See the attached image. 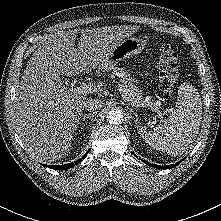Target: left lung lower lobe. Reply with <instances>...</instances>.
Returning a JSON list of instances; mask_svg holds the SVG:
<instances>
[{
  "label": "left lung lower lobe",
  "mask_w": 221,
  "mask_h": 221,
  "mask_svg": "<svg viewBox=\"0 0 221 221\" xmlns=\"http://www.w3.org/2000/svg\"><path fill=\"white\" fill-rule=\"evenodd\" d=\"M143 161V160H142ZM181 161L177 162L176 164H172V165H168V166H160V165H152L150 164L149 162L145 161V163L149 166H153L154 168H157V169H169V168H172V167H175L176 165H178Z\"/></svg>",
  "instance_id": "1"
}]
</instances>
